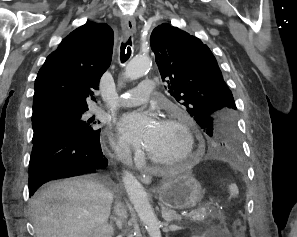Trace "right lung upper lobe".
<instances>
[{
  "label": "right lung upper lobe",
  "instance_id": "obj_1",
  "mask_svg": "<svg viewBox=\"0 0 297 237\" xmlns=\"http://www.w3.org/2000/svg\"><path fill=\"white\" fill-rule=\"evenodd\" d=\"M113 31L88 22L69 34L45 60L35 80L32 120L59 112H85L102 74L109 67Z\"/></svg>",
  "mask_w": 297,
  "mask_h": 237
}]
</instances>
